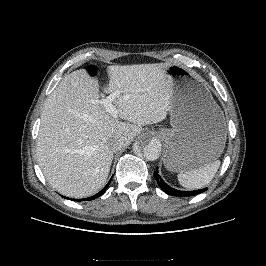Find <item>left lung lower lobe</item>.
<instances>
[{"label": "left lung lower lobe", "instance_id": "left-lung-lower-lobe-1", "mask_svg": "<svg viewBox=\"0 0 266 266\" xmlns=\"http://www.w3.org/2000/svg\"><path fill=\"white\" fill-rule=\"evenodd\" d=\"M154 177L158 183V185L160 186V188L167 193L168 195L171 196H178V197H189V196H193L196 194H200L202 192H205L207 190V188L204 189H200V190H196V191H180V190H176L170 186H168L163 179L160 177V175L158 174V168H156V171L154 172Z\"/></svg>", "mask_w": 266, "mask_h": 266}]
</instances>
